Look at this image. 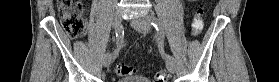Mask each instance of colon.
Masks as SVG:
<instances>
[{"mask_svg": "<svg viewBox=\"0 0 279 82\" xmlns=\"http://www.w3.org/2000/svg\"><path fill=\"white\" fill-rule=\"evenodd\" d=\"M59 16L62 25L71 38H80L86 32V23L84 19V7L82 0H57ZM204 26L201 16V8L193 17L192 31L198 34ZM117 76H128L134 73V68L128 65H117L114 68ZM168 74L164 70H159L154 74V82H167Z\"/></svg>", "mask_w": 279, "mask_h": 82, "instance_id": "obj_1", "label": "colon"}]
</instances>
